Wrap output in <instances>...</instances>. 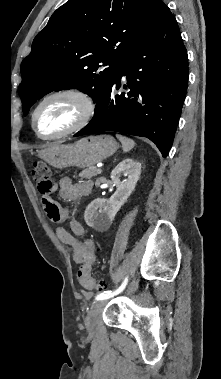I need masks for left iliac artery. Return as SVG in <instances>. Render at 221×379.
<instances>
[{
	"mask_svg": "<svg viewBox=\"0 0 221 379\" xmlns=\"http://www.w3.org/2000/svg\"><path fill=\"white\" fill-rule=\"evenodd\" d=\"M127 281L128 279L125 278L124 282L122 283V285L117 289L115 290L114 292H111V291H104L102 293H99L96 297H95V300L98 301V300H104V299H108L110 297H113L117 294H119L120 292H122L127 284Z\"/></svg>",
	"mask_w": 221,
	"mask_h": 379,
	"instance_id": "left-iliac-artery-1",
	"label": "left iliac artery"
}]
</instances>
